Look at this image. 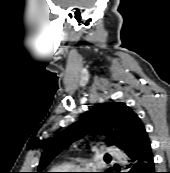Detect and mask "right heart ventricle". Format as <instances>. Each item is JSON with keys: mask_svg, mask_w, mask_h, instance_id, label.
Instances as JSON below:
<instances>
[{"mask_svg": "<svg viewBox=\"0 0 170 173\" xmlns=\"http://www.w3.org/2000/svg\"><path fill=\"white\" fill-rule=\"evenodd\" d=\"M72 168V165L70 163H63L58 169L60 171H69Z\"/></svg>", "mask_w": 170, "mask_h": 173, "instance_id": "1", "label": "right heart ventricle"}]
</instances>
